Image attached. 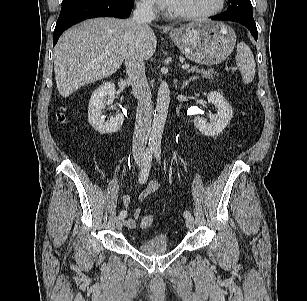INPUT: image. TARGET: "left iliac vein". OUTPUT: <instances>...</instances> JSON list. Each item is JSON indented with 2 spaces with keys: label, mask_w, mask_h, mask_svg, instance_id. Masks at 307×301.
Listing matches in <instances>:
<instances>
[{
  "label": "left iliac vein",
  "mask_w": 307,
  "mask_h": 301,
  "mask_svg": "<svg viewBox=\"0 0 307 301\" xmlns=\"http://www.w3.org/2000/svg\"><path fill=\"white\" fill-rule=\"evenodd\" d=\"M186 226L190 230H192L194 228V219H193L192 216L186 218Z\"/></svg>",
  "instance_id": "left-iliac-vein-1"
}]
</instances>
